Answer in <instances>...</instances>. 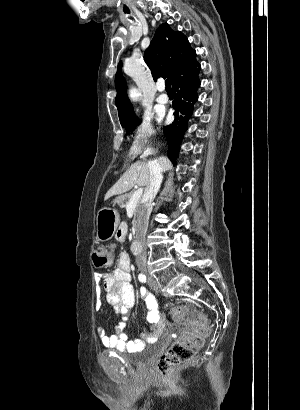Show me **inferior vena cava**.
<instances>
[{
    "mask_svg": "<svg viewBox=\"0 0 300 410\" xmlns=\"http://www.w3.org/2000/svg\"><path fill=\"white\" fill-rule=\"evenodd\" d=\"M150 177L149 184L145 189V194L143 196V205L137 213V224H138V243L140 244V254L136 257V264L140 271H145L147 268V252H146V232L149 223V216L152 211V202L157 195L162 180V166L158 161L148 162Z\"/></svg>",
    "mask_w": 300,
    "mask_h": 410,
    "instance_id": "1",
    "label": "inferior vena cava"
}]
</instances>
